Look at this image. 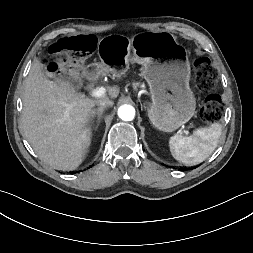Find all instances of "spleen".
Listing matches in <instances>:
<instances>
[{
  "mask_svg": "<svg viewBox=\"0 0 253 253\" xmlns=\"http://www.w3.org/2000/svg\"><path fill=\"white\" fill-rule=\"evenodd\" d=\"M221 132V124L213 123L209 127L197 129L193 136L174 135L169 141L171 154L177 161L185 165H197L213 153Z\"/></svg>",
  "mask_w": 253,
  "mask_h": 253,
  "instance_id": "1",
  "label": "spleen"
}]
</instances>
